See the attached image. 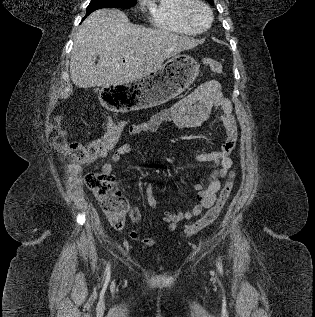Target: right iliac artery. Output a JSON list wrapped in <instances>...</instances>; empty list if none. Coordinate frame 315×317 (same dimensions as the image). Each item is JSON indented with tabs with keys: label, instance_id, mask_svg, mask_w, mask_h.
I'll list each match as a JSON object with an SVG mask.
<instances>
[{
	"label": "right iliac artery",
	"instance_id": "obj_1",
	"mask_svg": "<svg viewBox=\"0 0 315 317\" xmlns=\"http://www.w3.org/2000/svg\"><path fill=\"white\" fill-rule=\"evenodd\" d=\"M109 275H110V264L108 263L105 269L104 276L108 277Z\"/></svg>",
	"mask_w": 315,
	"mask_h": 317
}]
</instances>
